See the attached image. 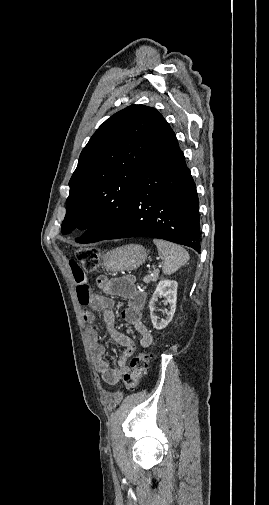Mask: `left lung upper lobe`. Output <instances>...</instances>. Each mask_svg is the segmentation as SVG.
I'll return each mask as SVG.
<instances>
[{
    "label": "left lung upper lobe",
    "instance_id": "obj_1",
    "mask_svg": "<svg viewBox=\"0 0 269 505\" xmlns=\"http://www.w3.org/2000/svg\"><path fill=\"white\" fill-rule=\"evenodd\" d=\"M163 121L156 109L131 105L97 129L69 181L63 234L88 229L76 241L90 243L119 225Z\"/></svg>",
    "mask_w": 269,
    "mask_h": 505
}]
</instances>
